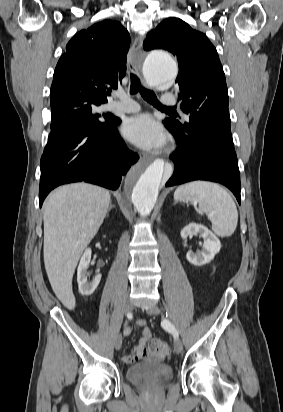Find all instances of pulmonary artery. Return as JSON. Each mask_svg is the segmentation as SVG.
Wrapping results in <instances>:
<instances>
[{
	"label": "pulmonary artery",
	"mask_w": 283,
	"mask_h": 412,
	"mask_svg": "<svg viewBox=\"0 0 283 412\" xmlns=\"http://www.w3.org/2000/svg\"><path fill=\"white\" fill-rule=\"evenodd\" d=\"M118 97L120 100L112 106V110L123 113H135L140 110L139 104L128 96L119 94ZM177 102V97L173 95H164L161 98V103L164 106H174ZM185 116L189 118L188 115Z\"/></svg>",
	"instance_id": "obj_1"
}]
</instances>
